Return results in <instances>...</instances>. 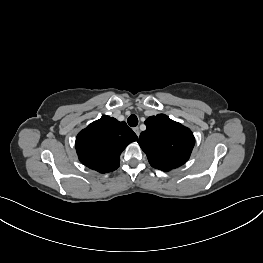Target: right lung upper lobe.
<instances>
[{
  "label": "right lung upper lobe",
  "mask_w": 263,
  "mask_h": 263,
  "mask_svg": "<svg viewBox=\"0 0 263 263\" xmlns=\"http://www.w3.org/2000/svg\"><path fill=\"white\" fill-rule=\"evenodd\" d=\"M138 138L127 124L110 116H102L80 131L76 138L79 160L100 173L116 170L120 154Z\"/></svg>",
  "instance_id": "1"
}]
</instances>
